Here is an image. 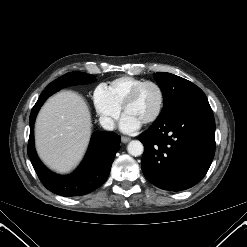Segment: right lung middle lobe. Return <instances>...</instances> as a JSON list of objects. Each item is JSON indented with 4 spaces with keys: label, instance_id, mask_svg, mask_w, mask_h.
I'll use <instances>...</instances> for the list:
<instances>
[{
    "label": "right lung middle lobe",
    "instance_id": "right-lung-middle-lobe-1",
    "mask_svg": "<svg viewBox=\"0 0 247 247\" xmlns=\"http://www.w3.org/2000/svg\"><path fill=\"white\" fill-rule=\"evenodd\" d=\"M95 80V76L89 75L82 72H70L67 73L55 81L51 82L46 89H57L60 90L61 88L77 85V84H86L93 82Z\"/></svg>",
    "mask_w": 247,
    "mask_h": 247
}]
</instances>
